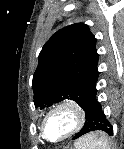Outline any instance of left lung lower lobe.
I'll return each mask as SVG.
<instances>
[{
	"label": "left lung lower lobe",
	"instance_id": "left-lung-lower-lobe-1",
	"mask_svg": "<svg viewBox=\"0 0 124 149\" xmlns=\"http://www.w3.org/2000/svg\"><path fill=\"white\" fill-rule=\"evenodd\" d=\"M93 131H102L109 135L113 134V126L106 118L101 104L97 101L96 93L87 102L86 122L82 130L76 134L73 139H77L80 136Z\"/></svg>",
	"mask_w": 124,
	"mask_h": 149
}]
</instances>
